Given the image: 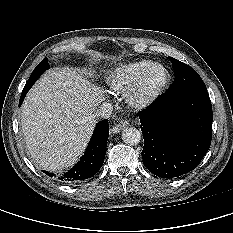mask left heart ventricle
Masks as SVG:
<instances>
[{"label": "left heart ventricle", "mask_w": 233, "mask_h": 233, "mask_svg": "<svg viewBox=\"0 0 233 233\" xmlns=\"http://www.w3.org/2000/svg\"><path fill=\"white\" fill-rule=\"evenodd\" d=\"M162 79H163V72L161 70H156L150 76V78L148 80V86L149 87H154L158 83H160Z\"/></svg>", "instance_id": "b2bd125f"}]
</instances>
